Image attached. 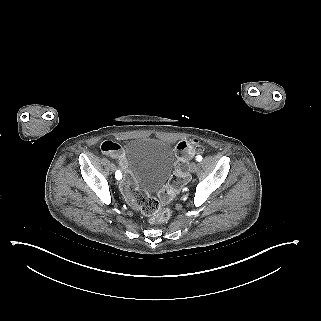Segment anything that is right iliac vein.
<instances>
[{
	"mask_svg": "<svg viewBox=\"0 0 321 321\" xmlns=\"http://www.w3.org/2000/svg\"><path fill=\"white\" fill-rule=\"evenodd\" d=\"M110 169H111L112 172H114L116 170V166L114 164H111L110 165Z\"/></svg>",
	"mask_w": 321,
	"mask_h": 321,
	"instance_id": "63e3f726",
	"label": "right iliac vein"
}]
</instances>
